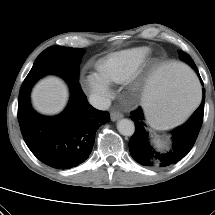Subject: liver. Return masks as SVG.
<instances>
[{
    "instance_id": "obj_1",
    "label": "liver",
    "mask_w": 215,
    "mask_h": 215,
    "mask_svg": "<svg viewBox=\"0 0 215 215\" xmlns=\"http://www.w3.org/2000/svg\"><path fill=\"white\" fill-rule=\"evenodd\" d=\"M31 99L33 107L38 112L54 115L65 107L68 100V90L61 79L49 76L35 85Z\"/></svg>"
}]
</instances>
